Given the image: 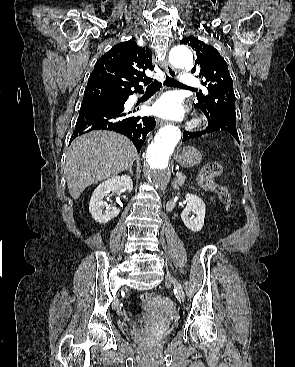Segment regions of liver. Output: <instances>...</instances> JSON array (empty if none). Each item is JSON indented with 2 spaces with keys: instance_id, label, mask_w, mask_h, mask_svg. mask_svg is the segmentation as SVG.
Returning a JSON list of instances; mask_svg holds the SVG:
<instances>
[{
  "instance_id": "liver-1",
  "label": "liver",
  "mask_w": 295,
  "mask_h": 367,
  "mask_svg": "<svg viewBox=\"0 0 295 367\" xmlns=\"http://www.w3.org/2000/svg\"><path fill=\"white\" fill-rule=\"evenodd\" d=\"M137 152L123 135L93 131L76 138L67 150L65 176L73 199L90 185L132 166Z\"/></svg>"
}]
</instances>
